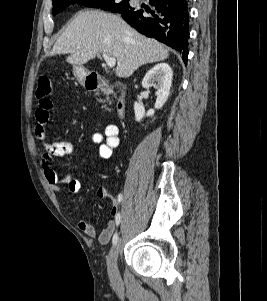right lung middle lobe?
<instances>
[{"label": "right lung middle lobe", "mask_w": 267, "mask_h": 301, "mask_svg": "<svg viewBox=\"0 0 267 301\" xmlns=\"http://www.w3.org/2000/svg\"><path fill=\"white\" fill-rule=\"evenodd\" d=\"M129 1L130 0H53V14L56 15L61 10L74 3L119 13L131 6Z\"/></svg>", "instance_id": "obj_1"}]
</instances>
